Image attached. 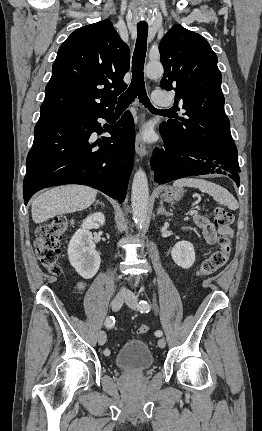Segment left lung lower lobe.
<instances>
[{"mask_svg": "<svg viewBox=\"0 0 262 431\" xmlns=\"http://www.w3.org/2000/svg\"><path fill=\"white\" fill-rule=\"evenodd\" d=\"M164 148L155 149L151 166L154 181L159 184L204 174H224L239 186V164L237 148L233 140L226 141L220 151H209L192 146H181L169 141L161 129Z\"/></svg>", "mask_w": 262, "mask_h": 431, "instance_id": "1", "label": "left lung lower lobe"}]
</instances>
